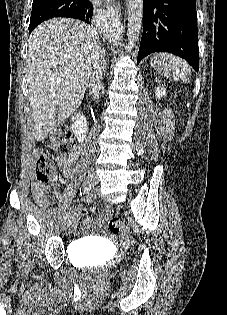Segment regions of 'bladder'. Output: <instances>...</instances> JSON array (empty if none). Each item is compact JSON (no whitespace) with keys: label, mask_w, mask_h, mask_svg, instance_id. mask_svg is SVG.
<instances>
[{"label":"bladder","mask_w":227,"mask_h":315,"mask_svg":"<svg viewBox=\"0 0 227 315\" xmlns=\"http://www.w3.org/2000/svg\"><path fill=\"white\" fill-rule=\"evenodd\" d=\"M93 244L89 240H77L74 243V246L80 249V257H85L87 253L101 254L105 251L103 247L92 246ZM79 267H85L81 261L78 262Z\"/></svg>","instance_id":"31cf9c89"}]
</instances>
